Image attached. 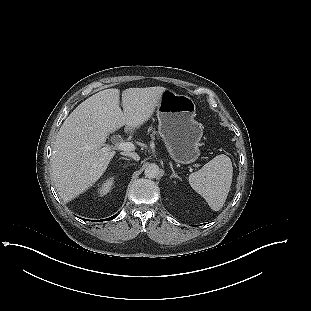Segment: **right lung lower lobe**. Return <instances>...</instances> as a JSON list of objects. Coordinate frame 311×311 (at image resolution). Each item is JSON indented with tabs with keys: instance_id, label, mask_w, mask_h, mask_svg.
I'll return each instance as SVG.
<instances>
[{
	"instance_id": "obj_1",
	"label": "right lung lower lobe",
	"mask_w": 311,
	"mask_h": 311,
	"mask_svg": "<svg viewBox=\"0 0 311 311\" xmlns=\"http://www.w3.org/2000/svg\"><path fill=\"white\" fill-rule=\"evenodd\" d=\"M115 217H117V215H114V216H112V217H110V218H107V219H104V220H112V219H114ZM103 220V221H104ZM100 221H102V220H100Z\"/></svg>"
}]
</instances>
